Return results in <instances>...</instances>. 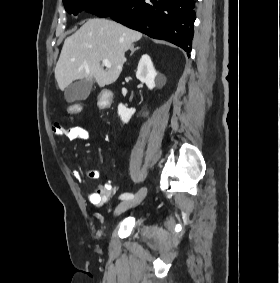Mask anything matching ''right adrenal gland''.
<instances>
[{"label": "right adrenal gland", "instance_id": "obj_1", "mask_svg": "<svg viewBox=\"0 0 280 283\" xmlns=\"http://www.w3.org/2000/svg\"><path fill=\"white\" fill-rule=\"evenodd\" d=\"M138 49H140V47H136V48H131V54L130 55H133V53L136 51V50H138Z\"/></svg>", "mask_w": 280, "mask_h": 283}]
</instances>
